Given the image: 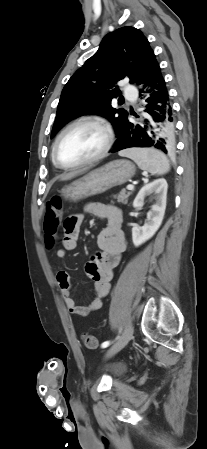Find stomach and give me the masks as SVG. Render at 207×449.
I'll return each instance as SVG.
<instances>
[{"label":"stomach","mask_w":207,"mask_h":449,"mask_svg":"<svg viewBox=\"0 0 207 449\" xmlns=\"http://www.w3.org/2000/svg\"><path fill=\"white\" fill-rule=\"evenodd\" d=\"M136 172L135 165L124 159L114 160L90 171L62 189L65 200L77 202L101 194L131 179Z\"/></svg>","instance_id":"obj_1"}]
</instances>
